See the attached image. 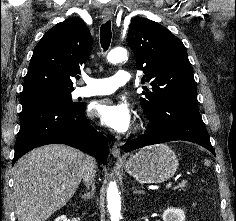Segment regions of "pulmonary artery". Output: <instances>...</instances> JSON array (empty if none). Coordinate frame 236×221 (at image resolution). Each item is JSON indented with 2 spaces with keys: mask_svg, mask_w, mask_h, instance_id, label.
Wrapping results in <instances>:
<instances>
[{
  "mask_svg": "<svg viewBox=\"0 0 236 221\" xmlns=\"http://www.w3.org/2000/svg\"><path fill=\"white\" fill-rule=\"evenodd\" d=\"M131 79L132 75L127 70H118L110 78L97 79L86 76L83 78L86 86L76 88L74 94L76 97L110 94Z\"/></svg>",
  "mask_w": 236,
  "mask_h": 221,
  "instance_id": "1",
  "label": "pulmonary artery"
}]
</instances>
